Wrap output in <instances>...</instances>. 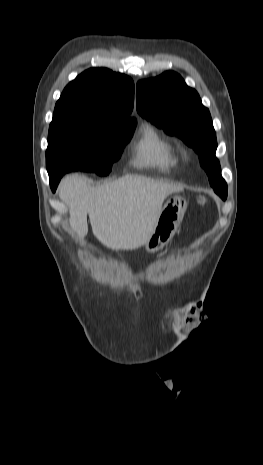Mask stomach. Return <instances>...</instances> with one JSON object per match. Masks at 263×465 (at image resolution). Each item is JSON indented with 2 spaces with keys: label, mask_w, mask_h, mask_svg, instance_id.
<instances>
[{
  "label": "stomach",
  "mask_w": 263,
  "mask_h": 465,
  "mask_svg": "<svg viewBox=\"0 0 263 465\" xmlns=\"http://www.w3.org/2000/svg\"><path fill=\"white\" fill-rule=\"evenodd\" d=\"M186 209L187 202L183 197L172 196L167 199L145 243L147 252H157L173 238Z\"/></svg>",
  "instance_id": "0dacf381"
}]
</instances>
